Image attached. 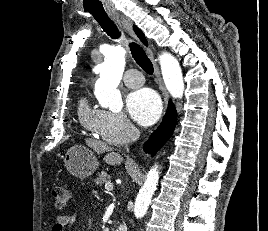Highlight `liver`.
<instances>
[{"instance_id": "liver-1", "label": "liver", "mask_w": 268, "mask_h": 231, "mask_svg": "<svg viewBox=\"0 0 268 231\" xmlns=\"http://www.w3.org/2000/svg\"><path fill=\"white\" fill-rule=\"evenodd\" d=\"M86 144L97 153L107 152L104 157L107 164L120 165L123 162V157L119 153L112 151L111 147L101 141L86 139Z\"/></svg>"}]
</instances>
